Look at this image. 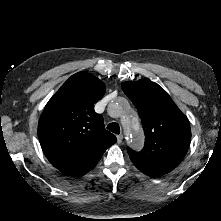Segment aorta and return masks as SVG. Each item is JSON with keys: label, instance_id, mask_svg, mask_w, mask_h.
<instances>
[{"label": "aorta", "instance_id": "obj_1", "mask_svg": "<svg viewBox=\"0 0 221 221\" xmlns=\"http://www.w3.org/2000/svg\"><path fill=\"white\" fill-rule=\"evenodd\" d=\"M126 108L127 106H123L119 103L111 105V109L118 111ZM135 119V115H129L122 121V125L126 134L127 143L135 149H140L143 143V139L140 137V124Z\"/></svg>", "mask_w": 221, "mask_h": 221}]
</instances>
